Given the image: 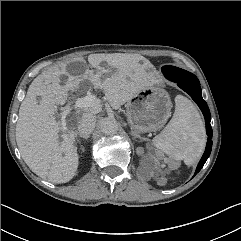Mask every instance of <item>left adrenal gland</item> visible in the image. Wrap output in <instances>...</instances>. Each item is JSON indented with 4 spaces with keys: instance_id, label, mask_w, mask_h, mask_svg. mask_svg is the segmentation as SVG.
Wrapping results in <instances>:
<instances>
[{
    "instance_id": "1",
    "label": "left adrenal gland",
    "mask_w": 241,
    "mask_h": 241,
    "mask_svg": "<svg viewBox=\"0 0 241 241\" xmlns=\"http://www.w3.org/2000/svg\"><path fill=\"white\" fill-rule=\"evenodd\" d=\"M132 135L136 138H139L141 141L143 140V138L139 134L132 132Z\"/></svg>"
}]
</instances>
